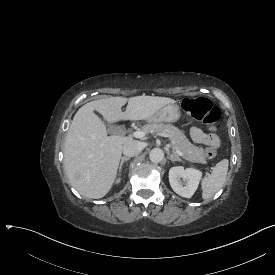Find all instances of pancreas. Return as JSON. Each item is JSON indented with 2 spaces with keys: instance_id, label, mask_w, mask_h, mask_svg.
Returning a JSON list of instances; mask_svg holds the SVG:
<instances>
[{
  "instance_id": "1",
  "label": "pancreas",
  "mask_w": 275,
  "mask_h": 275,
  "mask_svg": "<svg viewBox=\"0 0 275 275\" xmlns=\"http://www.w3.org/2000/svg\"><path fill=\"white\" fill-rule=\"evenodd\" d=\"M143 132L147 133H163L171 140V147L174 151L179 150L183 153V157L191 162L206 164L204 149L194 146L186 136L177 127L170 124L149 123L142 127Z\"/></svg>"
}]
</instances>
